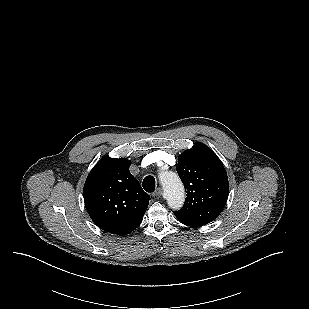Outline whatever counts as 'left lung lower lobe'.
<instances>
[{
  "label": "left lung lower lobe",
  "mask_w": 309,
  "mask_h": 309,
  "mask_svg": "<svg viewBox=\"0 0 309 309\" xmlns=\"http://www.w3.org/2000/svg\"><path fill=\"white\" fill-rule=\"evenodd\" d=\"M181 222V221H180ZM183 224H185V225H187V226H189V224L188 223H186V222H182ZM191 227V226H190Z\"/></svg>",
  "instance_id": "obj_1"
}]
</instances>
